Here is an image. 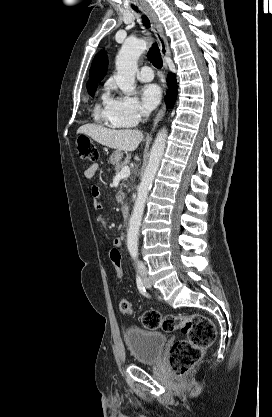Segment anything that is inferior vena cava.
Listing matches in <instances>:
<instances>
[{"label":"inferior vena cava","mask_w":272,"mask_h":417,"mask_svg":"<svg viewBox=\"0 0 272 417\" xmlns=\"http://www.w3.org/2000/svg\"><path fill=\"white\" fill-rule=\"evenodd\" d=\"M142 115H143L144 117L148 118V116H149V112H148V111H146V110H143V111H142ZM137 268H138V271H139L140 273H142V272H145V271H146V267H145V265H144L141 261H138V262H137Z\"/></svg>","instance_id":"inferior-vena-cava-1"}]
</instances>
